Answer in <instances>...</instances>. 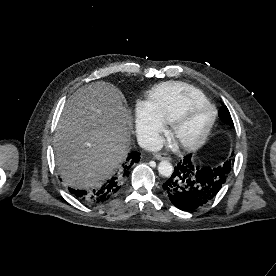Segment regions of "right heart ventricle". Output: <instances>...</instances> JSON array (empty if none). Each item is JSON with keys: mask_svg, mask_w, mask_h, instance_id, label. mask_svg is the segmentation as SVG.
Instances as JSON below:
<instances>
[{"mask_svg": "<svg viewBox=\"0 0 276 276\" xmlns=\"http://www.w3.org/2000/svg\"><path fill=\"white\" fill-rule=\"evenodd\" d=\"M195 99H206L197 88L183 82H166L156 86L150 93L146 107L148 111L163 123H169Z\"/></svg>", "mask_w": 276, "mask_h": 276, "instance_id": "1", "label": "right heart ventricle"}]
</instances>
